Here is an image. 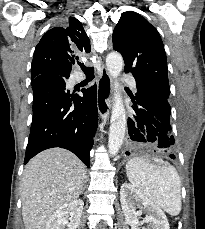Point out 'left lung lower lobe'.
Returning a JSON list of instances; mask_svg holds the SVG:
<instances>
[{
	"label": "left lung lower lobe",
	"instance_id": "0a47b994",
	"mask_svg": "<svg viewBox=\"0 0 205 229\" xmlns=\"http://www.w3.org/2000/svg\"><path fill=\"white\" fill-rule=\"evenodd\" d=\"M137 88L136 97L132 100L135 105L132 106L134 114L128 118L130 150L156 149L174 159L169 99L156 90L143 86Z\"/></svg>",
	"mask_w": 205,
	"mask_h": 229
}]
</instances>
